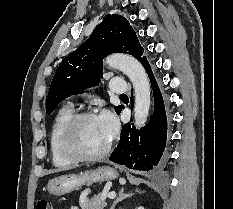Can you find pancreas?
<instances>
[{
	"label": "pancreas",
	"instance_id": "obj_1",
	"mask_svg": "<svg viewBox=\"0 0 233 209\" xmlns=\"http://www.w3.org/2000/svg\"><path fill=\"white\" fill-rule=\"evenodd\" d=\"M106 198L107 195H98L91 199L81 198L79 204L82 209H103L106 205Z\"/></svg>",
	"mask_w": 233,
	"mask_h": 209
}]
</instances>
